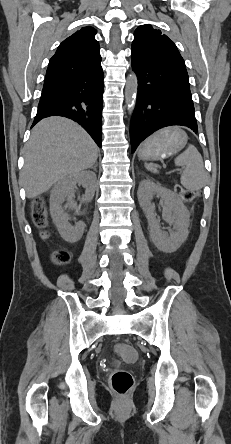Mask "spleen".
<instances>
[{
  "label": "spleen",
  "instance_id": "spleen-1",
  "mask_svg": "<svg viewBox=\"0 0 231 444\" xmlns=\"http://www.w3.org/2000/svg\"><path fill=\"white\" fill-rule=\"evenodd\" d=\"M175 165L184 168L180 178L183 187L191 191H197L205 185L206 173L203 159L193 145H189L183 153L175 158ZM145 167L151 172H158L153 165L145 163Z\"/></svg>",
  "mask_w": 231,
  "mask_h": 444
}]
</instances>
